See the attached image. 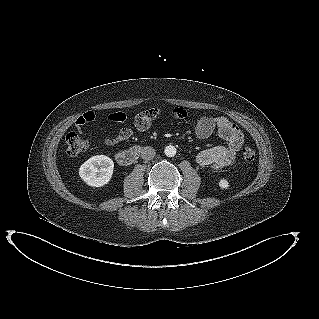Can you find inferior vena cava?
<instances>
[{
  "instance_id": "602c4592",
  "label": "inferior vena cava",
  "mask_w": 319,
  "mask_h": 319,
  "mask_svg": "<svg viewBox=\"0 0 319 319\" xmlns=\"http://www.w3.org/2000/svg\"><path fill=\"white\" fill-rule=\"evenodd\" d=\"M155 149L153 147H150V146H146L142 149L141 151V157L144 159V160H151L155 157Z\"/></svg>"
}]
</instances>
